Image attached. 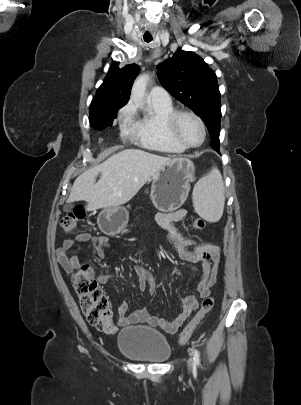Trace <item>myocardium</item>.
<instances>
[{
	"label": "myocardium",
	"instance_id": "1",
	"mask_svg": "<svg viewBox=\"0 0 301 405\" xmlns=\"http://www.w3.org/2000/svg\"><path fill=\"white\" fill-rule=\"evenodd\" d=\"M191 116L193 117L198 124L201 127L202 130V139L201 141L196 144V145H190L188 143H186L182 137L180 136L179 132H178V123L179 120L181 119V117L183 116ZM165 129L167 131V133L177 142L179 143L181 146H183L186 149H195L198 148L200 146L203 145V143L205 142L206 139V126L204 121L202 120V118L196 114L193 111L190 110H176L173 113H171L165 121Z\"/></svg>",
	"mask_w": 301,
	"mask_h": 405
}]
</instances>
